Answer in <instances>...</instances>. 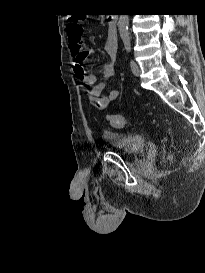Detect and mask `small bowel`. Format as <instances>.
Here are the masks:
<instances>
[{
	"instance_id": "small-bowel-1",
	"label": "small bowel",
	"mask_w": 205,
	"mask_h": 273,
	"mask_svg": "<svg viewBox=\"0 0 205 273\" xmlns=\"http://www.w3.org/2000/svg\"><path fill=\"white\" fill-rule=\"evenodd\" d=\"M70 51L74 56L73 73L75 77L82 83L84 91L93 107L99 110L107 108V106L115 101L119 96V91L110 90L107 95H103L106 86V79L112 75V61L115 59L118 44L112 36L108 35L105 42L104 51L110 59V63L103 67V79L99 80L95 74H88L85 71L84 64L87 57L94 52L92 48L83 50L75 41H71L69 45Z\"/></svg>"
}]
</instances>
